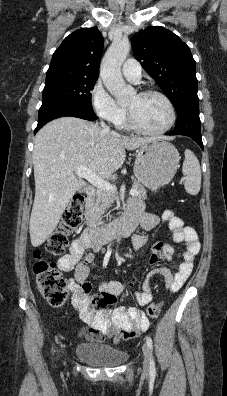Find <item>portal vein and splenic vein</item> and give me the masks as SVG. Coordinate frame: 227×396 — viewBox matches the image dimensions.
Here are the masks:
<instances>
[{"mask_svg":"<svg viewBox=\"0 0 227 396\" xmlns=\"http://www.w3.org/2000/svg\"><path fill=\"white\" fill-rule=\"evenodd\" d=\"M75 174L78 177L84 178L88 180L93 186L97 187L101 191L115 193L116 188L109 182L103 180L101 177L97 176L93 173L90 169L86 168L85 166H80L77 168ZM131 196H137V191L135 189L130 190Z\"/></svg>","mask_w":227,"mask_h":396,"instance_id":"1","label":"portal vein and splenic vein"}]
</instances>
